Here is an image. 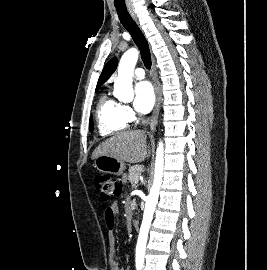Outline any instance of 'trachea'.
<instances>
[{
    "label": "trachea",
    "instance_id": "1",
    "mask_svg": "<svg viewBox=\"0 0 267 270\" xmlns=\"http://www.w3.org/2000/svg\"><path fill=\"white\" fill-rule=\"evenodd\" d=\"M117 14L119 16L120 22L127 29V31L132 36L133 41L140 50L142 61L147 69L151 68V56L148 47V42L143 35L142 31L129 15L126 7H117Z\"/></svg>",
    "mask_w": 267,
    "mask_h": 270
}]
</instances>
